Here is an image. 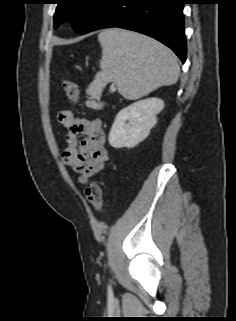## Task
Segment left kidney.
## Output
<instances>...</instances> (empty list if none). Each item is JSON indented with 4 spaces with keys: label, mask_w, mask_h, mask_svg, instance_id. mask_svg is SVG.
I'll use <instances>...</instances> for the list:
<instances>
[{
    "label": "left kidney",
    "mask_w": 236,
    "mask_h": 321,
    "mask_svg": "<svg viewBox=\"0 0 236 321\" xmlns=\"http://www.w3.org/2000/svg\"><path fill=\"white\" fill-rule=\"evenodd\" d=\"M163 107V100L152 97L134 102L122 109L109 133L110 145L114 148H132L138 145L149 135L157 122L156 116Z\"/></svg>",
    "instance_id": "obj_1"
}]
</instances>
